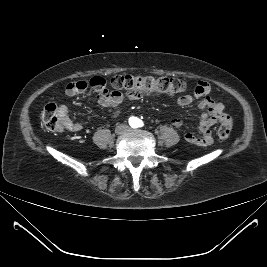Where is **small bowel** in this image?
<instances>
[{"label":"small bowel","instance_id":"c3829d8e","mask_svg":"<svg viewBox=\"0 0 267 267\" xmlns=\"http://www.w3.org/2000/svg\"><path fill=\"white\" fill-rule=\"evenodd\" d=\"M87 88L93 89L97 93L98 103L105 108L111 110L112 117H116L120 112V104L123 100L121 93L117 91H109L105 87V81L102 78L95 77L90 81L71 82L66 87V93L69 96H74L82 93ZM210 85L205 81H198L193 93L182 95L178 98L177 104L180 107H186L192 103L194 99H200L199 108L203 111L198 123L200 136H195L192 133L185 134V140L191 144L199 146H208L213 143L211 128L214 126L220 115L224 114V105L212 99L209 96ZM57 112L60 117L63 129L71 132L82 130L83 126L77 121H73L69 117V109L67 105L60 104L57 107ZM171 124L174 127H180L183 121L180 118H173Z\"/></svg>","mask_w":267,"mask_h":267}]
</instances>
